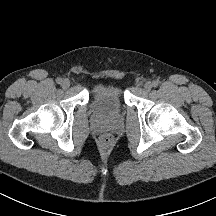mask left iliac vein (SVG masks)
Here are the masks:
<instances>
[{"instance_id": "left-iliac-vein-1", "label": "left iliac vein", "mask_w": 216, "mask_h": 216, "mask_svg": "<svg viewBox=\"0 0 216 216\" xmlns=\"http://www.w3.org/2000/svg\"><path fill=\"white\" fill-rule=\"evenodd\" d=\"M145 91L149 92L152 89V83L151 82H146L144 85Z\"/></svg>"}]
</instances>
